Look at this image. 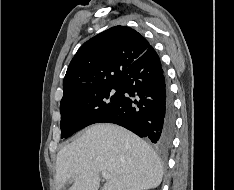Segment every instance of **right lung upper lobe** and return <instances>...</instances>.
<instances>
[{
    "mask_svg": "<svg viewBox=\"0 0 234 190\" xmlns=\"http://www.w3.org/2000/svg\"><path fill=\"white\" fill-rule=\"evenodd\" d=\"M149 47L140 33L126 26H115L94 36L79 48L70 62L61 102L117 84L125 70Z\"/></svg>",
    "mask_w": 234,
    "mask_h": 190,
    "instance_id": "cb5924a9",
    "label": "right lung upper lobe"
}]
</instances>
